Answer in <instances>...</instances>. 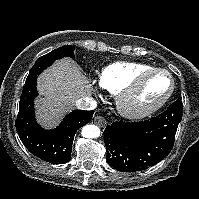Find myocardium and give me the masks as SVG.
I'll list each match as a JSON object with an SVG mask.
<instances>
[{"instance_id": "obj_1", "label": "myocardium", "mask_w": 199, "mask_h": 199, "mask_svg": "<svg viewBox=\"0 0 199 199\" xmlns=\"http://www.w3.org/2000/svg\"><path fill=\"white\" fill-rule=\"evenodd\" d=\"M164 74L171 83L167 94L152 105H137L134 98L141 89L144 82L152 75ZM176 89V81L173 75L166 69L151 68L138 73L117 95V107L119 112L128 119H142L148 117L161 109L172 97Z\"/></svg>"}]
</instances>
